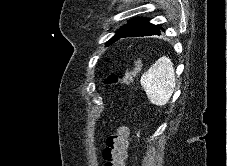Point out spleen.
I'll return each mask as SVG.
<instances>
[{"mask_svg":"<svg viewBox=\"0 0 227 166\" xmlns=\"http://www.w3.org/2000/svg\"><path fill=\"white\" fill-rule=\"evenodd\" d=\"M175 82L173 63L166 56L160 57L140 79L148 99L157 106H164L169 102Z\"/></svg>","mask_w":227,"mask_h":166,"instance_id":"obj_1","label":"spleen"}]
</instances>
